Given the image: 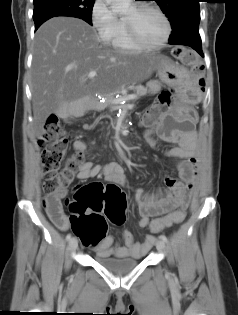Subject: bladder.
<instances>
[{
    "label": "bladder",
    "instance_id": "1",
    "mask_svg": "<svg viewBox=\"0 0 238 315\" xmlns=\"http://www.w3.org/2000/svg\"><path fill=\"white\" fill-rule=\"evenodd\" d=\"M95 261L105 268L107 271L113 274H125L134 269L139 263L140 259L129 258H106L102 256H96Z\"/></svg>",
    "mask_w": 238,
    "mask_h": 315
}]
</instances>
